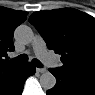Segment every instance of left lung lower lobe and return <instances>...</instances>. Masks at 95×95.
Instances as JSON below:
<instances>
[{"label":"left lung lower lobe","instance_id":"1","mask_svg":"<svg viewBox=\"0 0 95 95\" xmlns=\"http://www.w3.org/2000/svg\"><path fill=\"white\" fill-rule=\"evenodd\" d=\"M49 71L56 77V85L47 95H95V79L51 68Z\"/></svg>","mask_w":95,"mask_h":95}]
</instances>
